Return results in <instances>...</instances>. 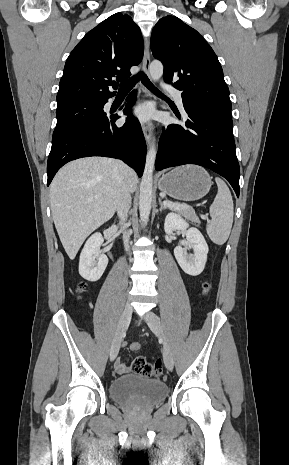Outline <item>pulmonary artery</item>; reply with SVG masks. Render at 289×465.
<instances>
[{"label":"pulmonary artery","mask_w":289,"mask_h":465,"mask_svg":"<svg viewBox=\"0 0 289 465\" xmlns=\"http://www.w3.org/2000/svg\"><path fill=\"white\" fill-rule=\"evenodd\" d=\"M166 90L169 91L175 98L177 105L179 106L180 109H183V98L181 95V92L174 87L171 86H166Z\"/></svg>","instance_id":"1"}]
</instances>
